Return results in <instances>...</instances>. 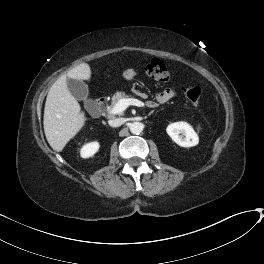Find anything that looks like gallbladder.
I'll return each mask as SVG.
<instances>
[{
  "instance_id": "obj_1",
  "label": "gallbladder",
  "mask_w": 264,
  "mask_h": 264,
  "mask_svg": "<svg viewBox=\"0 0 264 264\" xmlns=\"http://www.w3.org/2000/svg\"><path fill=\"white\" fill-rule=\"evenodd\" d=\"M67 83L68 88L74 98L77 100H83L85 108L91 110L94 104L92 100L87 99L89 92L88 86L83 81L77 79H67Z\"/></svg>"
}]
</instances>
